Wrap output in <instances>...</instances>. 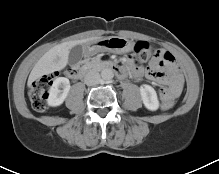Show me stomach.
<instances>
[{
	"label": "stomach",
	"instance_id": "0dacf381",
	"mask_svg": "<svg viewBox=\"0 0 219 174\" xmlns=\"http://www.w3.org/2000/svg\"><path fill=\"white\" fill-rule=\"evenodd\" d=\"M133 49V43L123 37L111 36L86 44V51L89 55H95L99 52H111L116 54H123Z\"/></svg>",
	"mask_w": 219,
	"mask_h": 174
}]
</instances>
